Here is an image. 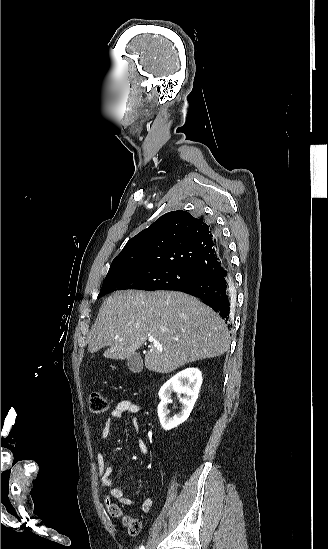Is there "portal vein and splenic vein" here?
<instances>
[{"label": "portal vein and splenic vein", "mask_w": 328, "mask_h": 549, "mask_svg": "<svg viewBox=\"0 0 328 549\" xmlns=\"http://www.w3.org/2000/svg\"><path fill=\"white\" fill-rule=\"evenodd\" d=\"M119 341H123V339H119ZM149 343H153L155 347H161V343L159 341H155V339H148Z\"/></svg>", "instance_id": "1"}]
</instances>
